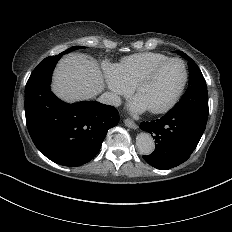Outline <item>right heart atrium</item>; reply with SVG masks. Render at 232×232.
Segmentation results:
<instances>
[{"label": "right heart atrium", "instance_id": "right-heart-atrium-1", "mask_svg": "<svg viewBox=\"0 0 232 232\" xmlns=\"http://www.w3.org/2000/svg\"><path fill=\"white\" fill-rule=\"evenodd\" d=\"M98 70L102 76V83L107 90L113 91L118 95L126 94L130 88L127 87L118 75L117 65L109 61H102Z\"/></svg>", "mask_w": 232, "mask_h": 232}]
</instances>
